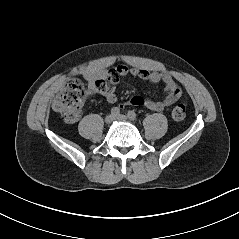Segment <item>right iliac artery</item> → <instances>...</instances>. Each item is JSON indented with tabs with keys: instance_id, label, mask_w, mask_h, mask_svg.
Listing matches in <instances>:
<instances>
[{
	"instance_id": "right-iliac-artery-1",
	"label": "right iliac artery",
	"mask_w": 239,
	"mask_h": 239,
	"mask_svg": "<svg viewBox=\"0 0 239 239\" xmlns=\"http://www.w3.org/2000/svg\"><path fill=\"white\" fill-rule=\"evenodd\" d=\"M111 114L112 115H119L120 114V109L118 108V107H113L112 109H111Z\"/></svg>"
}]
</instances>
